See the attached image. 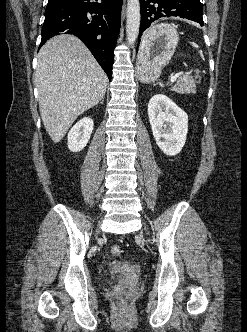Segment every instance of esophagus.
<instances>
[{"label":"esophagus","mask_w":247,"mask_h":332,"mask_svg":"<svg viewBox=\"0 0 247 332\" xmlns=\"http://www.w3.org/2000/svg\"><path fill=\"white\" fill-rule=\"evenodd\" d=\"M125 12H126V5H125V1H124L123 7H122V19L125 16Z\"/></svg>","instance_id":"1"}]
</instances>
